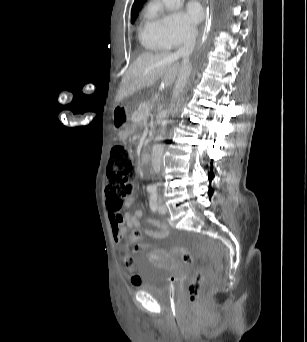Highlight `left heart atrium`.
<instances>
[{
    "label": "left heart atrium",
    "mask_w": 307,
    "mask_h": 342,
    "mask_svg": "<svg viewBox=\"0 0 307 342\" xmlns=\"http://www.w3.org/2000/svg\"><path fill=\"white\" fill-rule=\"evenodd\" d=\"M202 18L203 10L197 3L189 4L183 13L184 24L191 30L197 26Z\"/></svg>",
    "instance_id": "1"
}]
</instances>
